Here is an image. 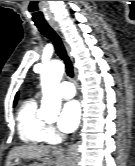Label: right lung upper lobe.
<instances>
[{
	"instance_id": "1",
	"label": "right lung upper lobe",
	"mask_w": 135,
	"mask_h": 166,
	"mask_svg": "<svg viewBox=\"0 0 135 166\" xmlns=\"http://www.w3.org/2000/svg\"><path fill=\"white\" fill-rule=\"evenodd\" d=\"M17 98H18V94L15 96L14 104H16Z\"/></svg>"
}]
</instances>
